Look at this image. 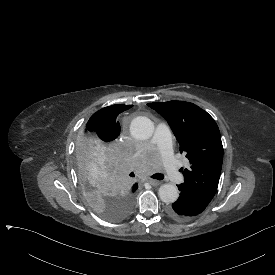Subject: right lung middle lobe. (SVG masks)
Listing matches in <instances>:
<instances>
[{
  "label": "right lung middle lobe",
  "instance_id": "obj_1",
  "mask_svg": "<svg viewBox=\"0 0 275 275\" xmlns=\"http://www.w3.org/2000/svg\"><path fill=\"white\" fill-rule=\"evenodd\" d=\"M77 155L87 203L108 220L126 218L133 205L124 193L129 153L117 146L106 147L96 135L83 134L77 140Z\"/></svg>",
  "mask_w": 275,
  "mask_h": 275
}]
</instances>
